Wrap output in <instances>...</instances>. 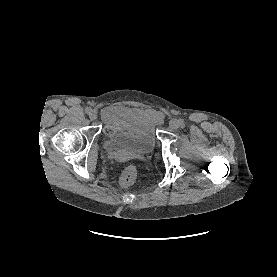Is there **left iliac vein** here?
Wrapping results in <instances>:
<instances>
[{"label":"left iliac vein","mask_w":277,"mask_h":277,"mask_svg":"<svg viewBox=\"0 0 277 277\" xmlns=\"http://www.w3.org/2000/svg\"><path fill=\"white\" fill-rule=\"evenodd\" d=\"M169 126H170V128L176 130V129H178V128L181 126V124H180V121H179V120H177V119H172V120L170 121V123H169Z\"/></svg>","instance_id":"obj_1"}]
</instances>
